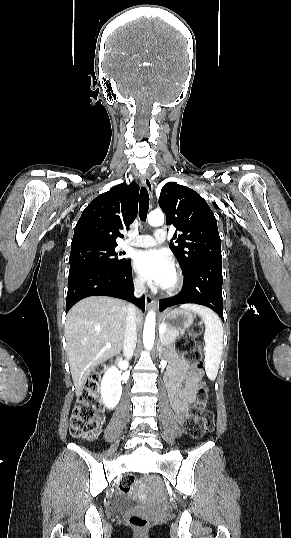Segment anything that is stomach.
<instances>
[{
    "label": "stomach",
    "mask_w": 291,
    "mask_h": 538,
    "mask_svg": "<svg viewBox=\"0 0 291 538\" xmlns=\"http://www.w3.org/2000/svg\"><path fill=\"white\" fill-rule=\"evenodd\" d=\"M194 321L191 311L184 309H174L162 315V324L167 329L179 332L189 328Z\"/></svg>",
    "instance_id": "1"
}]
</instances>
